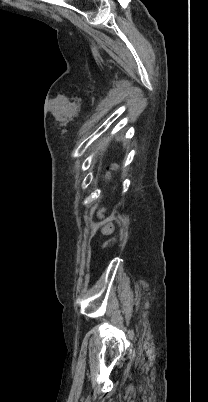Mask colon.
<instances>
[{
    "instance_id": "5ec220e1",
    "label": "colon",
    "mask_w": 208,
    "mask_h": 402,
    "mask_svg": "<svg viewBox=\"0 0 208 402\" xmlns=\"http://www.w3.org/2000/svg\"><path fill=\"white\" fill-rule=\"evenodd\" d=\"M111 168L114 169V170H118V169H119V165H118L117 163H112V164H111ZM119 239H120L119 236H117V237H111V238H109L108 240H106V241L103 243L102 247H103V248H106L107 246L111 245L112 243L117 242Z\"/></svg>"
}]
</instances>
